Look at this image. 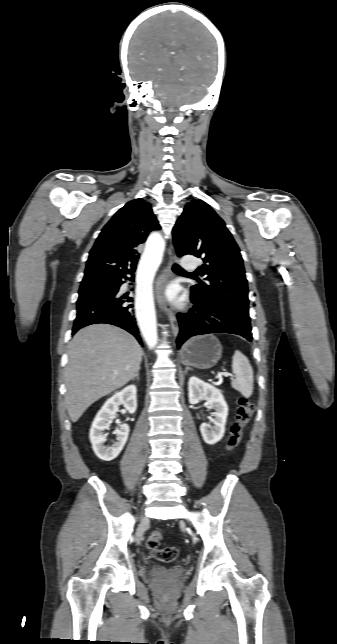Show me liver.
<instances>
[{
    "instance_id": "1",
    "label": "liver",
    "mask_w": 337,
    "mask_h": 644,
    "mask_svg": "<svg viewBox=\"0 0 337 644\" xmlns=\"http://www.w3.org/2000/svg\"><path fill=\"white\" fill-rule=\"evenodd\" d=\"M142 348L128 332L95 324L75 334L65 369V403L72 422L89 406L127 384L139 371Z\"/></svg>"
}]
</instances>
